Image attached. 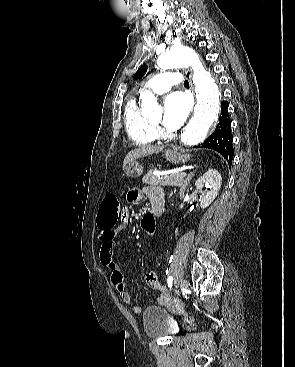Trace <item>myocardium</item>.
Returning a JSON list of instances; mask_svg holds the SVG:
<instances>
[{"mask_svg":"<svg viewBox=\"0 0 295 367\" xmlns=\"http://www.w3.org/2000/svg\"><path fill=\"white\" fill-rule=\"evenodd\" d=\"M151 125H152L155 129H157V128L159 127V125H158V124H155V123H151Z\"/></svg>","mask_w":295,"mask_h":367,"instance_id":"obj_1","label":"myocardium"}]
</instances>
